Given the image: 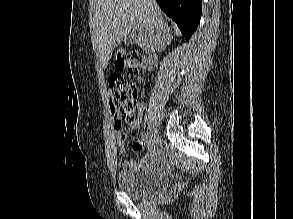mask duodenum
<instances>
[{"mask_svg": "<svg viewBox=\"0 0 293 219\" xmlns=\"http://www.w3.org/2000/svg\"><path fill=\"white\" fill-rule=\"evenodd\" d=\"M147 64H148V58L144 57V58L142 59V64H141V66H142V67H146Z\"/></svg>", "mask_w": 293, "mask_h": 219, "instance_id": "duodenum-1", "label": "duodenum"}]
</instances>
